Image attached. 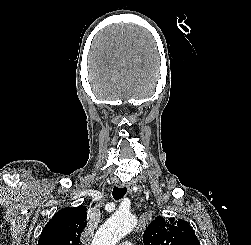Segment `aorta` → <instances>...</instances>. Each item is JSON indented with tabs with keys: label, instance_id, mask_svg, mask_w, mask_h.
Returning <instances> with one entry per match:
<instances>
[{
	"label": "aorta",
	"instance_id": "1",
	"mask_svg": "<svg viewBox=\"0 0 251 245\" xmlns=\"http://www.w3.org/2000/svg\"><path fill=\"white\" fill-rule=\"evenodd\" d=\"M136 223L135 216L119 210L98 229L91 245H116L133 230Z\"/></svg>",
	"mask_w": 251,
	"mask_h": 245
}]
</instances>
